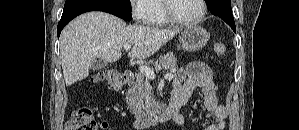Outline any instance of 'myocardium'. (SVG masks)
I'll return each instance as SVG.
<instances>
[{
	"label": "myocardium",
	"mask_w": 299,
	"mask_h": 130,
	"mask_svg": "<svg viewBox=\"0 0 299 130\" xmlns=\"http://www.w3.org/2000/svg\"><path fill=\"white\" fill-rule=\"evenodd\" d=\"M173 0H164V12L169 20V22L182 25V26H192L195 24H198L206 15V1L205 0H199L200 5V13L197 17L193 19H181L175 16V14L172 12L171 8V2Z\"/></svg>",
	"instance_id": "1"
}]
</instances>
